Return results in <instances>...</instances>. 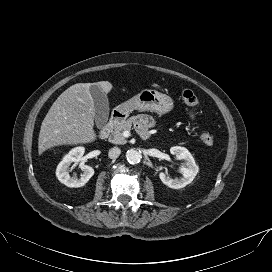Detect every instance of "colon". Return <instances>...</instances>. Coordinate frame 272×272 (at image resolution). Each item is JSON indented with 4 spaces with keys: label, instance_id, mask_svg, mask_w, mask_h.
<instances>
[{
    "label": "colon",
    "instance_id": "colon-1",
    "mask_svg": "<svg viewBox=\"0 0 272 272\" xmlns=\"http://www.w3.org/2000/svg\"><path fill=\"white\" fill-rule=\"evenodd\" d=\"M182 100L188 106V117L191 121L197 118V108L199 100L197 95L190 89H185L182 92ZM200 141L206 146H213L215 144V136L209 132H202L199 136Z\"/></svg>",
    "mask_w": 272,
    "mask_h": 272
}]
</instances>
